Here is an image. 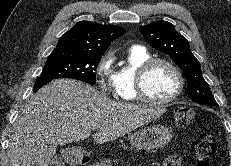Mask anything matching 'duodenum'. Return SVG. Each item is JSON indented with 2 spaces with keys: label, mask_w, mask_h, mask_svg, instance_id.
<instances>
[{
  "label": "duodenum",
  "mask_w": 231,
  "mask_h": 166,
  "mask_svg": "<svg viewBox=\"0 0 231 166\" xmlns=\"http://www.w3.org/2000/svg\"><path fill=\"white\" fill-rule=\"evenodd\" d=\"M63 158L76 166H88L91 162V157L86 151L67 150L63 153Z\"/></svg>",
  "instance_id": "duodenum-1"
}]
</instances>
